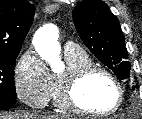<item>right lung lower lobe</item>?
Segmentation results:
<instances>
[{
  "label": "right lung lower lobe",
  "mask_w": 142,
  "mask_h": 119,
  "mask_svg": "<svg viewBox=\"0 0 142 119\" xmlns=\"http://www.w3.org/2000/svg\"><path fill=\"white\" fill-rule=\"evenodd\" d=\"M14 104L15 102H7V101L0 100V110H7L11 108Z\"/></svg>",
  "instance_id": "1"
}]
</instances>
